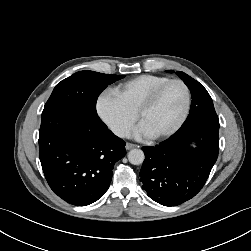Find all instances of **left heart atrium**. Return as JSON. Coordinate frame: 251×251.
Masks as SVG:
<instances>
[{
	"label": "left heart atrium",
	"instance_id": "39dd6f15",
	"mask_svg": "<svg viewBox=\"0 0 251 251\" xmlns=\"http://www.w3.org/2000/svg\"><path fill=\"white\" fill-rule=\"evenodd\" d=\"M134 135L138 139L151 138V134L141 123L136 128Z\"/></svg>",
	"mask_w": 251,
	"mask_h": 251
}]
</instances>
